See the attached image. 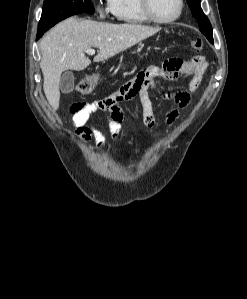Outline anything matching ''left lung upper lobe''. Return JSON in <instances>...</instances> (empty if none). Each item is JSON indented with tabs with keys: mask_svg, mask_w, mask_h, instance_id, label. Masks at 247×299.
Wrapping results in <instances>:
<instances>
[{
	"mask_svg": "<svg viewBox=\"0 0 247 299\" xmlns=\"http://www.w3.org/2000/svg\"><path fill=\"white\" fill-rule=\"evenodd\" d=\"M200 1L201 0H187L192 15L198 21L200 31L206 36L209 42L213 44L212 26L207 16L203 13Z\"/></svg>",
	"mask_w": 247,
	"mask_h": 299,
	"instance_id": "obj_1",
	"label": "left lung upper lobe"
}]
</instances>
